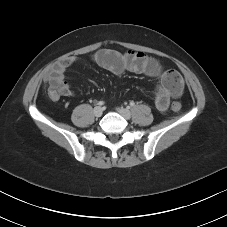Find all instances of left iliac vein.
<instances>
[{
    "label": "left iliac vein",
    "instance_id": "left-iliac-vein-1",
    "mask_svg": "<svg viewBox=\"0 0 227 227\" xmlns=\"http://www.w3.org/2000/svg\"><path fill=\"white\" fill-rule=\"evenodd\" d=\"M117 111L126 120H129L131 118V112L129 109L121 107V108H117Z\"/></svg>",
    "mask_w": 227,
    "mask_h": 227
}]
</instances>
